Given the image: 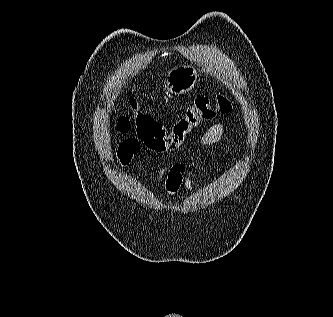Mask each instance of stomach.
I'll list each match as a JSON object with an SVG mask.
<instances>
[{
    "mask_svg": "<svg viewBox=\"0 0 333 317\" xmlns=\"http://www.w3.org/2000/svg\"><path fill=\"white\" fill-rule=\"evenodd\" d=\"M197 77L198 74L194 67L182 65L169 72L165 87L168 92L181 95L193 89Z\"/></svg>",
    "mask_w": 333,
    "mask_h": 317,
    "instance_id": "0dacf381",
    "label": "stomach"
}]
</instances>
